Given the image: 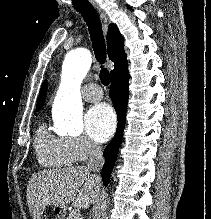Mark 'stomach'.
Here are the masks:
<instances>
[{"label": "stomach", "instance_id": "1", "mask_svg": "<svg viewBox=\"0 0 211 219\" xmlns=\"http://www.w3.org/2000/svg\"><path fill=\"white\" fill-rule=\"evenodd\" d=\"M54 212H55V214H57V216L60 217V219H63V217L65 215V209L60 208V207H55Z\"/></svg>", "mask_w": 211, "mask_h": 219}]
</instances>
